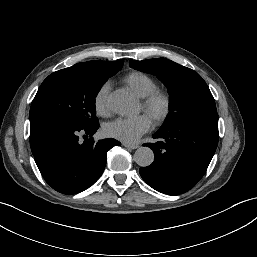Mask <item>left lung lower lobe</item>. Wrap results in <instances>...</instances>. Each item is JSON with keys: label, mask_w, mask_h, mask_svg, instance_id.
<instances>
[{"label": "left lung lower lobe", "mask_w": 257, "mask_h": 257, "mask_svg": "<svg viewBox=\"0 0 257 257\" xmlns=\"http://www.w3.org/2000/svg\"><path fill=\"white\" fill-rule=\"evenodd\" d=\"M153 138L160 141L145 146L154 152V162L139 169L153 189L178 195L190 190L204 175L218 143L217 111L198 114L168 128Z\"/></svg>", "instance_id": "left-lung-lower-lobe-1"}]
</instances>
